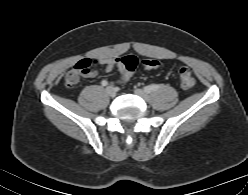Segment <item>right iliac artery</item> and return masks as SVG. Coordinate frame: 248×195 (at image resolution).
I'll return each instance as SVG.
<instances>
[{
  "label": "right iliac artery",
  "instance_id": "obj_1",
  "mask_svg": "<svg viewBox=\"0 0 248 195\" xmlns=\"http://www.w3.org/2000/svg\"><path fill=\"white\" fill-rule=\"evenodd\" d=\"M107 84H108V82H107L106 80H103V81L101 82V85H102V86H107Z\"/></svg>",
  "mask_w": 248,
  "mask_h": 195
}]
</instances>
